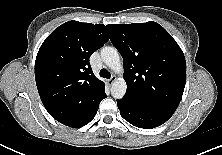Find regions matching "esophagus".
<instances>
[{"label": "esophagus", "mask_w": 222, "mask_h": 155, "mask_svg": "<svg viewBox=\"0 0 222 155\" xmlns=\"http://www.w3.org/2000/svg\"><path fill=\"white\" fill-rule=\"evenodd\" d=\"M116 79H117V77H116L115 75H113L108 81L112 83V82L115 81Z\"/></svg>", "instance_id": "esophagus-1"}]
</instances>
